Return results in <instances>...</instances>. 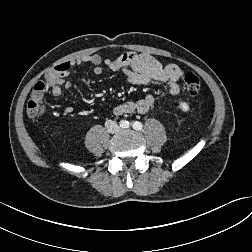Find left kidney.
Masks as SVG:
<instances>
[{"instance_id":"obj_1","label":"left kidney","mask_w":252,"mask_h":252,"mask_svg":"<svg viewBox=\"0 0 252 252\" xmlns=\"http://www.w3.org/2000/svg\"><path fill=\"white\" fill-rule=\"evenodd\" d=\"M179 108L183 111V112H188L190 110L189 104L185 101H181L179 103Z\"/></svg>"}]
</instances>
